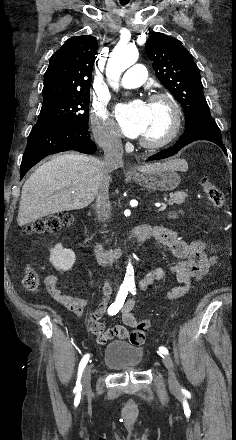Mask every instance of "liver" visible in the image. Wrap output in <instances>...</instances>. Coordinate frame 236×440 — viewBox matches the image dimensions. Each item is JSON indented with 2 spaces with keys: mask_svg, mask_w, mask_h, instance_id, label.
Segmentation results:
<instances>
[{
  "mask_svg": "<svg viewBox=\"0 0 236 440\" xmlns=\"http://www.w3.org/2000/svg\"><path fill=\"white\" fill-rule=\"evenodd\" d=\"M179 160L138 167L141 172L159 167L179 168ZM111 176L103 161L76 153H65L44 163L22 187L17 223L26 225L39 218L82 209L91 204L102 184L109 187Z\"/></svg>",
  "mask_w": 236,
  "mask_h": 440,
  "instance_id": "1",
  "label": "liver"
}]
</instances>
